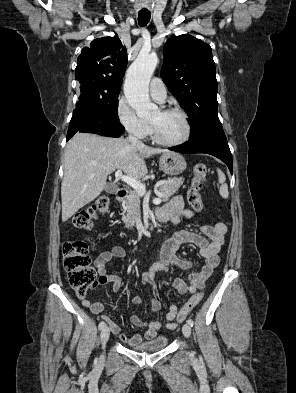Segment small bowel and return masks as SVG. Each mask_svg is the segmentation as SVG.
Here are the masks:
<instances>
[{
	"instance_id": "small-bowel-1",
	"label": "small bowel",
	"mask_w": 296,
	"mask_h": 393,
	"mask_svg": "<svg viewBox=\"0 0 296 393\" xmlns=\"http://www.w3.org/2000/svg\"><path fill=\"white\" fill-rule=\"evenodd\" d=\"M167 220L177 225L182 218L191 219L195 216V212L185 208L184 201L181 196L173 197L161 209ZM227 232V227L222 222L208 224L201 227L200 232L178 230L175 234L166 241L161 250V261L154 264L147 272L142 274L141 280L143 284L151 286L153 290V297L150 300L149 311L160 312L162 310L161 296L158 290L154 287L155 275L157 272H167L171 266L189 269L192 267V262L181 259L176 255V252L182 244L189 243L199 248V253L204 259V264L199 270L191 272L186 279L177 278L173 281L174 289L180 294L193 293L204 288L205 281L211 276L214 269L219 264V252L222 248L224 236ZM126 250L122 246H112L108 250L103 251L95 260V267L98 272L97 287L105 284H110L113 292H119L121 289L120 277L116 274L107 273L106 266L114 258H124ZM82 304L88 307L93 314H102L105 310V305L101 301L92 302L88 296L81 297ZM133 304H141L142 299L135 296L131 299ZM178 312V307L171 304L165 315V323L153 321L145 322L137 315H132L130 320L133 325L139 328H145V332L134 334L127 337L123 334L119 326L108 316L101 315V318L107 323L108 328L118 335L122 341L130 346L140 345L144 342L150 341L156 337L157 331L161 328L174 329L176 323L173 322Z\"/></svg>"
}]
</instances>
